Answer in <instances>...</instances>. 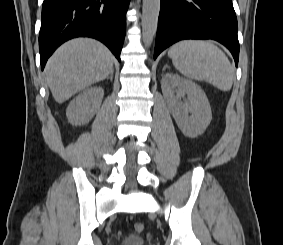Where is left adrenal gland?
<instances>
[{
    "label": "left adrenal gland",
    "instance_id": "left-adrenal-gland-1",
    "mask_svg": "<svg viewBox=\"0 0 283 245\" xmlns=\"http://www.w3.org/2000/svg\"><path fill=\"white\" fill-rule=\"evenodd\" d=\"M166 68H168V66H167V65H165V66H164L163 71H164Z\"/></svg>",
    "mask_w": 283,
    "mask_h": 245
}]
</instances>
